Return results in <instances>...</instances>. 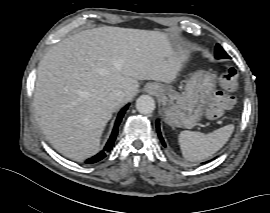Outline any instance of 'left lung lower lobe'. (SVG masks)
<instances>
[{
	"instance_id": "obj_1",
	"label": "left lung lower lobe",
	"mask_w": 270,
	"mask_h": 213,
	"mask_svg": "<svg viewBox=\"0 0 270 213\" xmlns=\"http://www.w3.org/2000/svg\"><path fill=\"white\" fill-rule=\"evenodd\" d=\"M156 128H157V133H158V136H159V138H160V141L162 142V145H163L164 147H166V144H165V142H164V139H163V137H162V135H161L160 126H159V122H158V121H157V123H156Z\"/></svg>"
}]
</instances>
